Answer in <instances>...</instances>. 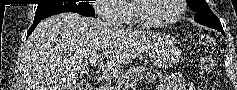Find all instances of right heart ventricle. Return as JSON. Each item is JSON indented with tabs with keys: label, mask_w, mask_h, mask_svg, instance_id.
<instances>
[{
	"label": "right heart ventricle",
	"mask_w": 237,
	"mask_h": 90,
	"mask_svg": "<svg viewBox=\"0 0 237 90\" xmlns=\"http://www.w3.org/2000/svg\"><path fill=\"white\" fill-rule=\"evenodd\" d=\"M131 4H119V7H113V11H131ZM121 15H131L128 12H121ZM114 28H142L137 19H121L115 25Z\"/></svg>",
	"instance_id": "right-heart-ventricle-1"
}]
</instances>
